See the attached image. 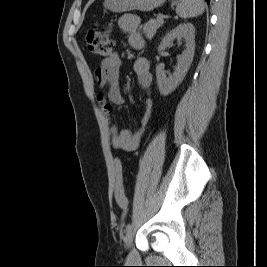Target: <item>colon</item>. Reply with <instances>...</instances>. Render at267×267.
I'll use <instances>...</instances> for the list:
<instances>
[{"instance_id": "5ec220e1", "label": "colon", "mask_w": 267, "mask_h": 267, "mask_svg": "<svg viewBox=\"0 0 267 267\" xmlns=\"http://www.w3.org/2000/svg\"><path fill=\"white\" fill-rule=\"evenodd\" d=\"M86 44L90 52L104 59H108L114 54V43L107 29H91L87 33ZM114 175V193L116 202L120 208L127 210L129 202L123 187V167L120 159L114 160Z\"/></svg>"}]
</instances>
